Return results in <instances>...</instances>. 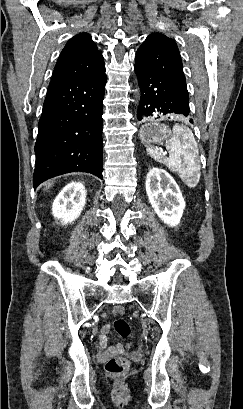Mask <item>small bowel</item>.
Here are the masks:
<instances>
[{
	"label": "small bowel",
	"mask_w": 243,
	"mask_h": 409,
	"mask_svg": "<svg viewBox=\"0 0 243 409\" xmlns=\"http://www.w3.org/2000/svg\"><path fill=\"white\" fill-rule=\"evenodd\" d=\"M111 329V325L109 323L105 324L102 326L99 334V345L102 349L105 350L106 353L108 354H116V353H121L124 350V345L122 344H116L114 346H108V340H107V333H109Z\"/></svg>",
	"instance_id": "c3829d8e"
}]
</instances>
